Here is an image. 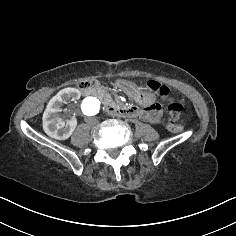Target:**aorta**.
Wrapping results in <instances>:
<instances>
[{"instance_id":"obj_1","label":"aorta","mask_w":236,"mask_h":236,"mask_svg":"<svg viewBox=\"0 0 236 236\" xmlns=\"http://www.w3.org/2000/svg\"><path fill=\"white\" fill-rule=\"evenodd\" d=\"M101 102L94 96L86 97L81 103V113L86 118H91L99 114Z\"/></svg>"}]
</instances>
